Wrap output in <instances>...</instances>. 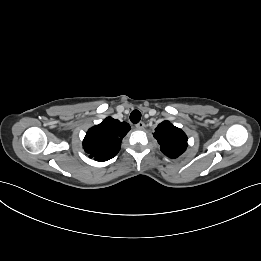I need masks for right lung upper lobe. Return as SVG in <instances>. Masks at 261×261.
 I'll use <instances>...</instances> for the list:
<instances>
[{"instance_id":"1","label":"right lung upper lobe","mask_w":261,"mask_h":261,"mask_svg":"<svg viewBox=\"0 0 261 261\" xmlns=\"http://www.w3.org/2000/svg\"><path fill=\"white\" fill-rule=\"evenodd\" d=\"M130 129L128 123L107 117L102 123L88 130L83 140V148L90 158L107 161L119 152L120 142Z\"/></svg>"}]
</instances>
